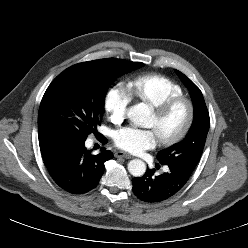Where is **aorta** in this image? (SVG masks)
<instances>
[{
	"label": "aorta",
	"instance_id": "1",
	"mask_svg": "<svg viewBox=\"0 0 248 248\" xmlns=\"http://www.w3.org/2000/svg\"><path fill=\"white\" fill-rule=\"evenodd\" d=\"M127 116L133 124L143 126L150 117V109L146 104L140 103L131 106ZM128 171L134 177H141L146 172V164L140 159H133L128 163Z\"/></svg>",
	"mask_w": 248,
	"mask_h": 248
}]
</instances>
